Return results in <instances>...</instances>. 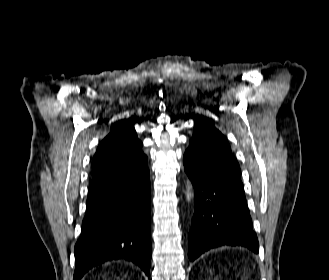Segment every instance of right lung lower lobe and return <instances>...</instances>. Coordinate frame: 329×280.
Wrapping results in <instances>:
<instances>
[{"label": "right lung lower lobe", "mask_w": 329, "mask_h": 280, "mask_svg": "<svg viewBox=\"0 0 329 280\" xmlns=\"http://www.w3.org/2000/svg\"><path fill=\"white\" fill-rule=\"evenodd\" d=\"M73 280L92 267L125 259L150 276V174L148 166L93 177L81 236L75 249Z\"/></svg>", "instance_id": "1"}]
</instances>
